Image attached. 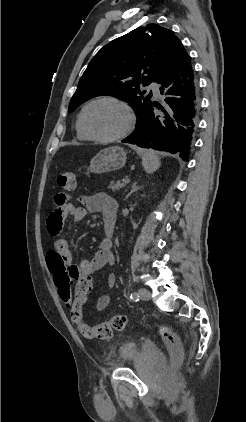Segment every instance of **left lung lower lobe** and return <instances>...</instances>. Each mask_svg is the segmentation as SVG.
Returning <instances> with one entry per match:
<instances>
[{
  "mask_svg": "<svg viewBox=\"0 0 246 422\" xmlns=\"http://www.w3.org/2000/svg\"><path fill=\"white\" fill-rule=\"evenodd\" d=\"M159 83L162 85L160 93L168 95L165 98L167 111L161 104L152 101L137 120L135 131L122 142L176 153L188 161L200 101L190 57L183 46ZM154 108L162 110L165 117L159 118L153 112Z\"/></svg>",
  "mask_w": 246,
  "mask_h": 422,
  "instance_id": "obj_1",
  "label": "left lung lower lobe"
}]
</instances>
